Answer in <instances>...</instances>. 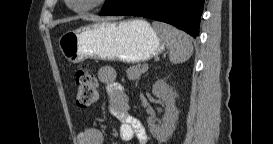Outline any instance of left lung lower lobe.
Instances as JSON below:
<instances>
[{
  "mask_svg": "<svg viewBox=\"0 0 273 144\" xmlns=\"http://www.w3.org/2000/svg\"><path fill=\"white\" fill-rule=\"evenodd\" d=\"M205 0H113L99 15L142 16L174 25L194 38Z\"/></svg>",
  "mask_w": 273,
  "mask_h": 144,
  "instance_id": "1",
  "label": "left lung lower lobe"
}]
</instances>
